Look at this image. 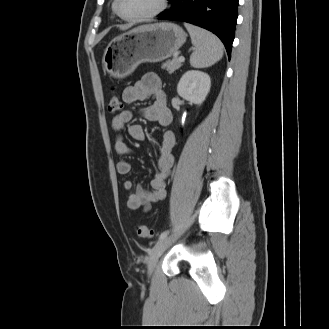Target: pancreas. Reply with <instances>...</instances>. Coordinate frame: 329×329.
<instances>
[{
    "mask_svg": "<svg viewBox=\"0 0 329 329\" xmlns=\"http://www.w3.org/2000/svg\"><path fill=\"white\" fill-rule=\"evenodd\" d=\"M182 66V62L179 61L177 57H174L172 60H168L162 65V68L168 71V73H173L175 70L179 69Z\"/></svg>",
    "mask_w": 329,
    "mask_h": 329,
    "instance_id": "pancreas-1",
    "label": "pancreas"
}]
</instances>
